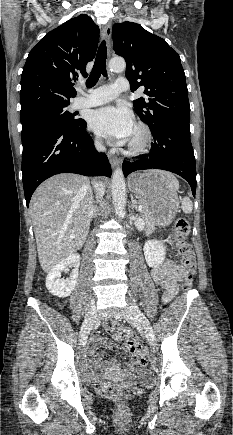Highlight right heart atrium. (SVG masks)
Listing matches in <instances>:
<instances>
[{
  "mask_svg": "<svg viewBox=\"0 0 233 435\" xmlns=\"http://www.w3.org/2000/svg\"><path fill=\"white\" fill-rule=\"evenodd\" d=\"M94 144L96 147H101L102 146V141L99 137H95L94 138Z\"/></svg>",
  "mask_w": 233,
  "mask_h": 435,
  "instance_id": "right-heart-atrium-1",
  "label": "right heart atrium"
}]
</instances>
